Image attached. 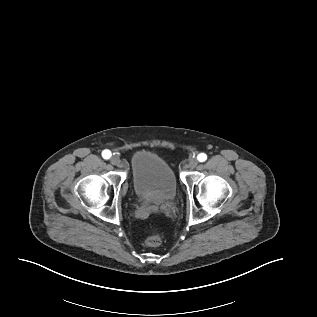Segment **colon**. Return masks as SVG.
<instances>
[{
    "label": "colon",
    "mask_w": 317,
    "mask_h": 317,
    "mask_svg": "<svg viewBox=\"0 0 317 317\" xmlns=\"http://www.w3.org/2000/svg\"><path fill=\"white\" fill-rule=\"evenodd\" d=\"M161 242L162 239L158 233H155L154 235L147 237L145 240V244L150 247H157L161 244Z\"/></svg>",
    "instance_id": "1"
}]
</instances>
